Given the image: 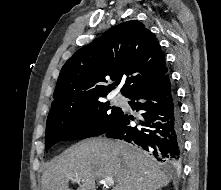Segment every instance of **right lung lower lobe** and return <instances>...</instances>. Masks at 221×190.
<instances>
[{"label":"right lung lower lobe","mask_w":221,"mask_h":190,"mask_svg":"<svg viewBox=\"0 0 221 190\" xmlns=\"http://www.w3.org/2000/svg\"><path fill=\"white\" fill-rule=\"evenodd\" d=\"M129 105L140 112L134 118L123 112L116 123L104 133L122 139L150 152L158 161L177 167L182 157V127L174 88L167 73L128 96Z\"/></svg>","instance_id":"98d812e1"}]
</instances>
